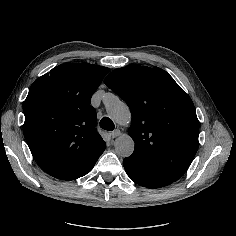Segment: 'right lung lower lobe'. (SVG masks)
<instances>
[{"mask_svg": "<svg viewBox=\"0 0 236 236\" xmlns=\"http://www.w3.org/2000/svg\"><path fill=\"white\" fill-rule=\"evenodd\" d=\"M96 161L93 162L91 165H89L77 178L86 175L93 168V166L95 165Z\"/></svg>", "mask_w": 236, "mask_h": 236, "instance_id": "1", "label": "right lung lower lobe"}]
</instances>
